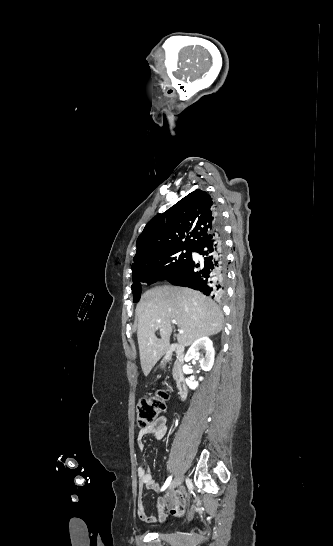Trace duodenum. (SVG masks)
I'll list each match as a JSON object with an SVG mask.
<instances>
[{
    "label": "duodenum",
    "instance_id": "duodenum-1",
    "mask_svg": "<svg viewBox=\"0 0 333 546\" xmlns=\"http://www.w3.org/2000/svg\"><path fill=\"white\" fill-rule=\"evenodd\" d=\"M169 355L175 358L173 367V377L177 389V394L181 399L187 396L188 387L183 373L184 348L181 345H172L169 349Z\"/></svg>",
    "mask_w": 333,
    "mask_h": 546
}]
</instances>
